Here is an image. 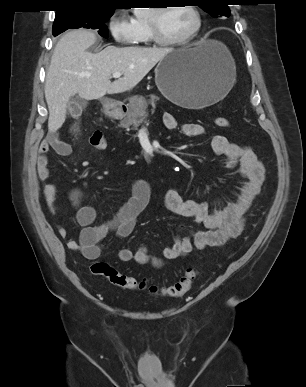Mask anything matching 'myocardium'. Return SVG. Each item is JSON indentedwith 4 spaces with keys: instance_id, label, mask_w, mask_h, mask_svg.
Returning <instances> with one entry per match:
<instances>
[{
    "instance_id": "1",
    "label": "myocardium",
    "mask_w": 306,
    "mask_h": 387,
    "mask_svg": "<svg viewBox=\"0 0 306 387\" xmlns=\"http://www.w3.org/2000/svg\"><path fill=\"white\" fill-rule=\"evenodd\" d=\"M195 18V25L193 29L183 38L180 39H166L163 37L159 27V17L163 11L168 7L162 6L154 8L150 11L147 17V25L150 33L151 40L159 46H181L191 42L200 32L202 27V15L199 9L195 5H185Z\"/></svg>"
}]
</instances>
